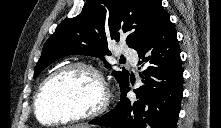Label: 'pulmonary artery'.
<instances>
[{"label": "pulmonary artery", "mask_w": 221, "mask_h": 128, "mask_svg": "<svg viewBox=\"0 0 221 128\" xmlns=\"http://www.w3.org/2000/svg\"><path fill=\"white\" fill-rule=\"evenodd\" d=\"M122 54L125 55L131 62L132 64L135 66L137 61H138V55L137 53H135L134 51H131L129 49H124L122 51Z\"/></svg>", "instance_id": "e3ab8cb5"}]
</instances>
